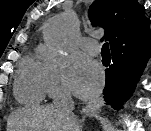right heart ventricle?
Here are the masks:
<instances>
[{
  "label": "right heart ventricle",
  "instance_id": "right-heart-ventricle-1",
  "mask_svg": "<svg viewBox=\"0 0 151 131\" xmlns=\"http://www.w3.org/2000/svg\"><path fill=\"white\" fill-rule=\"evenodd\" d=\"M14 95L25 105L39 104L46 95L42 62L31 55L24 57L19 65Z\"/></svg>",
  "mask_w": 151,
  "mask_h": 131
}]
</instances>
